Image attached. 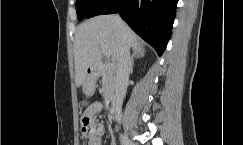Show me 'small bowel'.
Segmentation results:
<instances>
[{
	"instance_id": "c3829d8e",
	"label": "small bowel",
	"mask_w": 243,
	"mask_h": 145,
	"mask_svg": "<svg viewBox=\"0 0 243 145\" xmlns=\"http://www.w3.org/2000/svg\"><path fill=\"white\" fill-rule=\"evenodd\" d=\"M101 110V105L96 103L88 108L84 115H87L91 118L95 130L92 136L85 139L84 145H101L102 144V135H103V127L102 126H95L94 123V115Z\"/></svg>"
}]
</instances>
